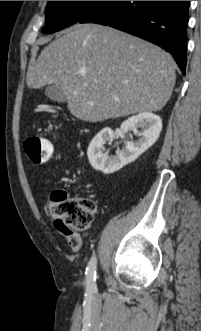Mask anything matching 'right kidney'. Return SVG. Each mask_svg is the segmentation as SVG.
<instances>
[{
  "label": "right kidney",
  "mask_w": 201,
  "mask_h": 331,
  "mask_svg": "<svg viewBox=\"0 0 201 331\" xmlns=\"http://www.w3.org/2000/svg\"><path fill=\"white\" fill-rule=\"evenodd\" d=\"M161 129L162 120L153 113L144 112L129 117L121 124L120 133L134 131L139 138L135 141H126L124 149L117 150L115 155H109V151H105V145L115 139L116 133L111 128H103L89 144L87 150L89 162L95 170L104 174L119 171L150 148L159 138Z\"/></svg>",
  "instance_id": "1"
}]
</instances>
